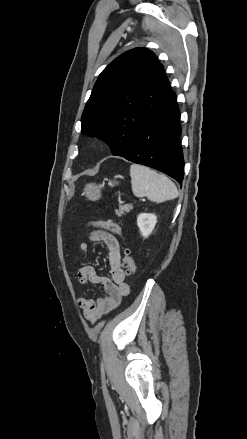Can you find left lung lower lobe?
I'll return each instance as SVG.
<instances>
[{
	"mask_svg": "<svg viewBox=\"0 0 247 439\" xmlns=\"http://www.w3.org/2000/svg\"><path fill=\"white\" fill-rule=\"evenodd\" d=\"M179 121L180 111L173 92L141 123L131 147L121 157L153 167L181 183L184 162L179 142Z\"/></svg>",
	"mask_w": 247,
	"mask_h": 439,
	"instance_id": "0a47b994",
	"label": "left lung lower lobe"
}]
</instances>
